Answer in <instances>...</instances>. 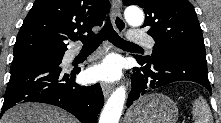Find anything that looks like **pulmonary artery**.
Segmentation results:
<instances>
[{
  "label": "pulmonary artery",
  "instance_id": "1",
  "mask_svg": "<svg viewBox=\"0 0 221 123\" xmlns=\"http://www.w3.org/2000/svg\"><path fill=\"white\" fill-rule=\"evenodd\" d=\"M128 39L131 42L143 43L150 49H152L154 46V40L146 33L138 29L132 30L129 34ZM76 53L77 50L70 51L69 57H73Z\"/></svg>",
  "mask_w": 221,
  "mask_h": 123
}]
</instances>
